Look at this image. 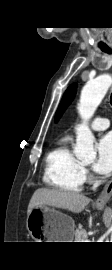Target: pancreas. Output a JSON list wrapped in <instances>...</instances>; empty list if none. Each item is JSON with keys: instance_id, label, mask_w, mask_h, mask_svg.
Segmentation results:
<instances>
[{"instance_id": "1", "label": "pancreas", "mask_w": 112, "mask_h": 270, "mask_svg": "<svg viewBox=\"0 0 112 270\" xmlns=\"http://www.w3.org/2000/svg\"><path fill=\"white\" fill-rule=\"evenodd\" d=\"M87 238L86 230L82 227V225H79L75 232V242H85Z\"/></svg>"}]
</instances>
